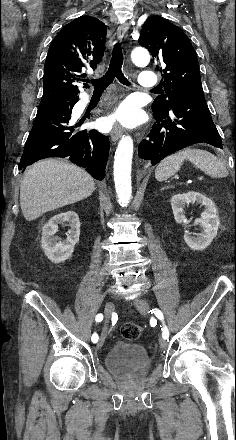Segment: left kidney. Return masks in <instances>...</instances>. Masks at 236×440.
Masks as SVG:
<instances>
[{
  "label": "left kidney",
  "mask_w": 236,
  "mask_h": 440,
  "mask_svg": "<svg viewBox=\"0 0 236 440\" xmlns=\"http://www.w3.org/2000/svg\"><path fill=\"white\" fill-rule=\"evenodd\" d=\"M195 202L205 207L201 218L196 219L194 222V224L201 227L202 231L196 237L192 236L189 231H185L184 241L191 249L201 251L211 244L213 239L217 236V231L220 227V221L214 202L205 195L193 191L176 194L171 198L174 218L179 224L185 223L187 220L184 208L190 203Z\"/></svg>",
  "instance_id": "5707ae66"
}]
</instances>
